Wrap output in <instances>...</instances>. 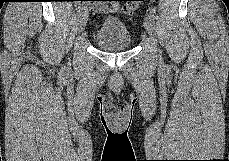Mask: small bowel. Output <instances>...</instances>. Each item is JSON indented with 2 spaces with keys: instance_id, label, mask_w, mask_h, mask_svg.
Wrapping results in <instances>:
<instances>
[{
  "instance_id": "c3829d8e",
  "label": "small bowel",
  "mask_w": 229,
  "mask_h": 161,
  "mask_svg": "<svg viewBox=\"0 0 229 161\" xmlns=\"http://www.w3.org/2000/svg\"><path fill=\"white\" fill-rule=\"evenodd\" d=\"M118 10V5L116 4V1H107L104 7V12H115Z\"/></svg>"
}]
</instances>
